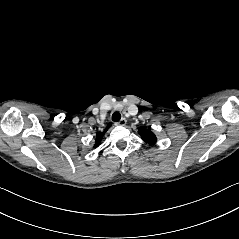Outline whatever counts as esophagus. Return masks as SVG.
Wrapping results in <instances>:
<instances>
[{"label":"esophagus","mask_w":239,"mask_h":239,"mask_svg":"<svg viewBox=\"0 0 239 239\" xmlns=\"http://www.w3.org/2000/svg\"><path fill=\"white\" fill-rule=\"evenodd\" d=\"M126 119L122 118L119 122L116 123V125L124 126L126 124Z\"/></svg>","instance_id":"1"}]
</instances>
